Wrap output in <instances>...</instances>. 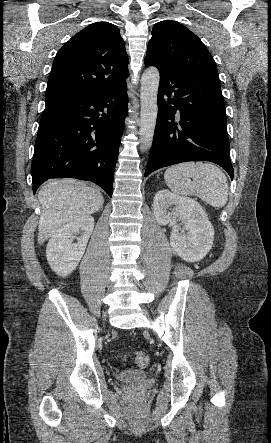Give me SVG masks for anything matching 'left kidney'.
Returning <instances> with one entry per match:
<instances>
[{
	"instance_id": "obj_1",
	"label": "left kidney",
	"mask_w": 271,
	"mask_h": 443,
	"mask_svg": "<svg viewBox=\"0 0 271 443\" xmlns=\"http://www.w3.org/2000/svg\"><path fill=\"white\" fill-rule=\"evenodd\" d=\"M170 210V212H168ZM156 222L160 225H173L170 245L185 261H200L210 251L214 237V227L198 202L192 198L175 196L168 190L157 192L153 202ZM179 218L184 223L183 231L176 223Z\"/></svg>"
}]
</instances>
